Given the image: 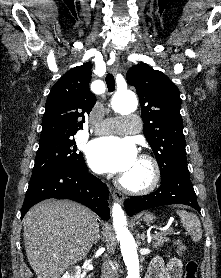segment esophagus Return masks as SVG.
Segmentation results:
<instances>
[{"mask_svg": "<svg viewBox=\"0 0 221 278\" xmlns=\"http://www.w3.org/2000/svg\"><path fill=\"white\" fill-rule=\"evenodd\" d=\"M119 55H120V53L117 52L116 53V57L114 59V62L112 64V66H111V71L113 73H115L119 69V64H120V62H119ZM113 197L120 204H122L124 202V199H125L124 195L121 192H119V191H114L113 192Z\"/></svg>", "mask_w": 221, "mask_h": 278, "instance_id": "esophagus-1", "label": "esophagus"}]
</instances>
